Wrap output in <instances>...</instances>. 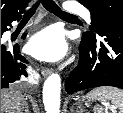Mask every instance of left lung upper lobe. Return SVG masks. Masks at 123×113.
Masks as SVG:
<instances>
[{"mask_svg": "<svg viewBox=\"0 0 123 113\" xmlns=\"http://www.w3.org/2000/svg\"><path fill=\"white\" fill-rule=\"evenodd\" d=\"M91 11L90 32L83 33L85 37H94L98 20L107 15H114L123 20V0H78Z\"/></svg>", "mask_w": 123, "mask_h": 113, "instance_id": "obj_1", "label": "left lung upper lobe"}]
</instances>
